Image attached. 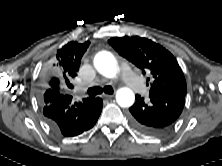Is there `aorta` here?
Segmentation results:
<instances>
[{
    "mask_svg": "<svg viewBox=\"0 0 222 166\" xmlns=\"http://www.w3.org/2000/svg\"><path fill=\"white\" fill-rule=\"evenodd\" d=\"M94 65L97 71L107 78H114L118 71L116 59L108 51L99 52L95 56ZM116 101L121 107H130L135 101V95L131 89L123 87L116 92Z\"/></svg>",
    "mask_w": 222,
    "mask_h": 166,
    "instance_id": "aorta-1",
    "label": "aorta"
}]
</instances>
